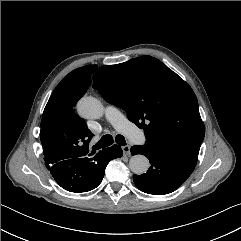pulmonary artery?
I'll return each mask as SVG.
<instances>
[{"label":"pulmonary artery","mask_w":241,"mask_h":241,"mask_svg":"<svg viewBox=\"0 0 241 241\" xmlns=\"http://www.w3.org/2000/svg\"><path fill=\"white\" fill-rule=\"evenodd\" d=\"M105 116L116 130L126 135L135 143L141 144L144 142V137L140 130L135 127L128 119L114 106L108 105L105 108Z\"/></svg>","instance_id":"1"}]
</instances>
